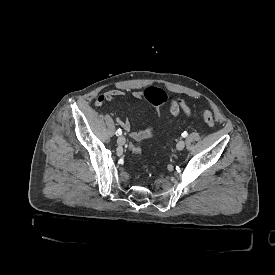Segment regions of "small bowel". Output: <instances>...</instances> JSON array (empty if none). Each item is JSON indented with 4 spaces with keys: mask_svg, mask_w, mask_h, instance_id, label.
<instances>
[{
    "mask_svg": "<svg viewBox=\"0 0 275 275\" xmlns=\"http://www.w3.org/2000/svg\"><path fill=\"white\" fill-rule=\"evenodd\" d=\"M124 94H125L124 91L121 89L107 90L104 93H102L96 97V99L94 101V106L96 108H103L106 105V103H108L116 98L122 97V96H124ZM132 96L136 100H139V101L144 99L143 93L139 90L133 91ZM169 110L173 116H178L180 114H183V115L189 117L191 115V109H190L189 105L182 98L172 100L170 103V106H169ZM116 120H117L118 124L126 132H128L130 137L135 141H141V140L149 137V135H150L149 128H146L141 131H133L131 129V124L128 119L122 118V117H117Z\"/></svg>",
    "mask_w": 275,
    "mask_h": 275,
    "instance_id": "1",
    "label": "small bowel"
}]
</instances>
